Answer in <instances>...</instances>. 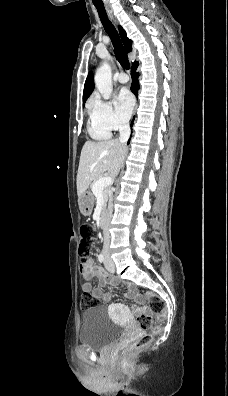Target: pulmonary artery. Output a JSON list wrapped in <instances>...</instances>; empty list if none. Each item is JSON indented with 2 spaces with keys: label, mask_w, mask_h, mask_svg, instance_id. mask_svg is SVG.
I'll return each mask as SVG.
<instances>
[{
  "label": "pulmonary artery",
  "mask_w": 228,
  "mask_h": 396,
  "mask_svg": "<svg viewBox=\"0 0 228 396\" xmlns=\"http://www.w3.org/2000/svg\"><path fill=\"white\" fill-rule=\"evenodd\" d=\"M129 80V77L125 73H120L117 75V81L120 83H127Z\"/></svg>",
  "instance_id": "pulmonary-artery-1"
}]
</instances>
